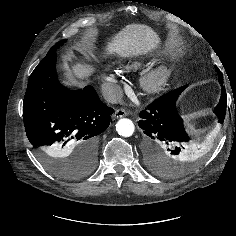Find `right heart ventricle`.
Masks as SVG:
<instances>
[{
    "mask_svg": "<svg viewBox=\"0 0 236 236\" xmlns=\"http://www.w3.org/2000/svg\"><path fill=\"white\" fill-rule=\"evenodd\" d=\"M145 61H146L145 57H137L129 61L127 64L130 68H136L138 66H141Z\"/></svg>",
    "mask_w": 236,
    "mask_h": 236,
    "instance_id": "right-heart-ventricle-1",
    "label": "right heart ventricle"
}]
</instances>
